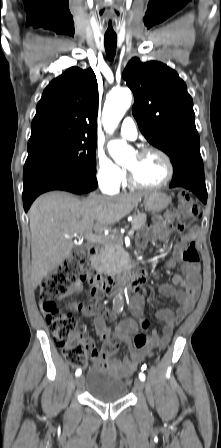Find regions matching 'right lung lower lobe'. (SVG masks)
I'll use <instances>...</instances> for the list:
<instances>
[{"label":"right lung lower lobe","instance_id":"right-lung-lower-lobe-1","mask_svg":"<svg viewBox=\"0 0 221 448\" xmlns=\"http://www.w3.org/2000/svg\"><path fill=\"white\" fill-rule=\"evenodd\" d=\"M23 205L27 212L40 194L51 190H64L87 194L97 187L95 176L78 172L52 162L25 164L23 171Z\"/></svg>","mask_w":221,"mask_h":448}]
</instances>
